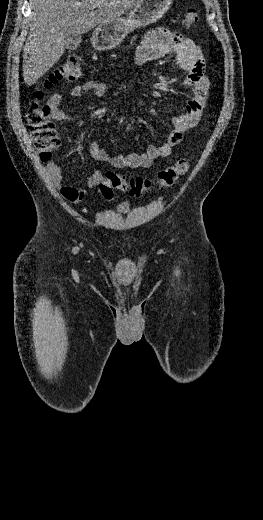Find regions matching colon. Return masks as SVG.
I'll list each match as a JSON object with an SVG mask.
<instances>
[{
    "label": "colon",
    "instance_id": "colon-1",
    "mask_svg": "<svg viewBox=\"0 0 263 520\" xmlns=\"http://www.w3.org/2000/svg\"><path fill=\"white\" fill-rule=\"evenodd\" d=\"M199 21L198 11L188 8L183 16V25L186 28L194 27ZM82 74L80 58L71 55L67 60L52 72L45 81V88H50L58 82H71L78 79ZM43 92L38 90L34 93V99L29 105L27 121L31 136L41 160L47 161L54 151L60 146L55 124L51 120L50 107L41 103ZM190 169V161L187 159L177 160L160 170L153 179L143 177H127L112 171L107 172L97 186L102 196L110 200L113 192H127L133 197H139L152 190H162L173 186L181 177L186 175Z\"/></svg>",
    "mask_w": 263,
    "mask_h": 520
}]
</instances>
